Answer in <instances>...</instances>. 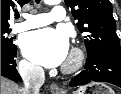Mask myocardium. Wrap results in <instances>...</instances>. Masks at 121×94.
<instances>
[{
    "label": "myocardium",
    "instance_id": "obj_1",
    "mask_svg": "<svg viewBox=\"0 0 121 94\" xmlns=\"http://www.w3.org/2000/svg\"><path fill=\"white\" fill-rule=\"evenodd\" d=\"M84 54L81 49L73 48L71 53L62 67V71L66 74H71L78 71L83 65Z\"/></svg>",
    "mask_w": 121,
    "mask_h": 94
}]
</instances>
